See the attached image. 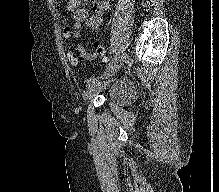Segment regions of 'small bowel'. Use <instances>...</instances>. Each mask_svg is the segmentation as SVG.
I'll use <instances>...</instances> for the list:
<instances>
[{
	"instance_id": "1",
	"label": "small bowel",
	"mask_w": 219,
	"mask_h": 192,
	"mask_svg": "<svg viewBox=\"0 0 219 192\" xmlns=\"http://www.w3.org/2000/svg\"><path fill=\"white\" fill-rule=\"evenodd\" d=\"M86 1L67 0L65 4L66 11L73 14L72 36L75 40L82 38V28L84 25L91 29L92 34H98L101 24L111 10V4L108 0H95L93 3V14L89 15V11L85 7ZM65 32L68 33L69 29L66 28ZM77 52L84 57H94V55H89L86 52L82 44L77 45Z\"/></svg>"
}]
</instances>
